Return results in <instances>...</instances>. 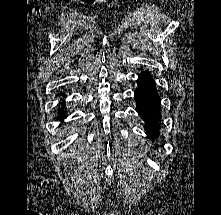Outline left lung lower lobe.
<instances>
[{"label": "left lung lower lobe", "instance_id": "1", "mask_svg": "<svg viewBox=\"0 0 221 215\" xmlns=\"http://www.w3.org/2000/svg\"><path fill=\"white\" fill-rule=\"evenodd\" d=\"M135 101L137 103V112L143 116L144 121L147 122L145 130L148 135L156 136L157 120L159 118V99L155 90L154 80L152 76L143 72L138 77V88L134 92ZM154 140V139H153Z\"/></svg>", "mask_w": 221, "mask_h": 215}]
</instances>
